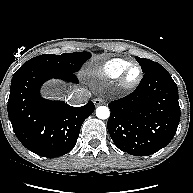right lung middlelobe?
Returning a JSON list of instances; mask_svg holds the SVG:
<instances>
[{
	"mask_svg": "<svg viewBox=\"0 0 193 193\" xmlns=\"http://www.w3.org/2000/svg\"><path fill=\"white\" fill-rule=\"evenodd\" d=\"M90 57V52L65 53L61 55L44 54L28 60L19 70L43 68L53 71H68L75 73Z\"/></svg>",
	"mask_w": 193,
	"mask_h": 193,
	"instance_id": "1",
	"label": "right lung middle lobe"
}]
</instances>
